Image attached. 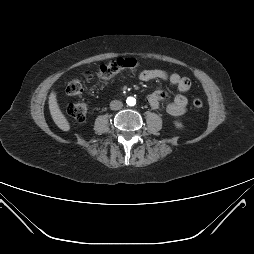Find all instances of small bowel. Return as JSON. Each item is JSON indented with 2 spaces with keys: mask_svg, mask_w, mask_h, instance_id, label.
I'll use <instances>...</instances> for the list:
<instances>
[{
  "mask_svg": "<svg viewBox=\"0 0 254 254\" xmlns=\"http://www.w3.org/2000/svg\"><path fill=\"white\" fill-rule=\"evenodd\" d=\"M139 79L143 82H149L152 80L169 81L182 93L187 92L191 87V81L189 78L180 76L176 73L169 74L161 69L144 70L140 73ZM166 97V92L156 91L147 97V101L152 108L157 109L161 105V102L166 99ZM187 103V98L183 94H178L167 104V112L174 116L182 115L187 110Z\"/></svg>",
  "mask_w": 254,
  "mask_h": 254,
  "instance_id": "c3829d8e",
  "label": "small bowel"
}]
</instances>
